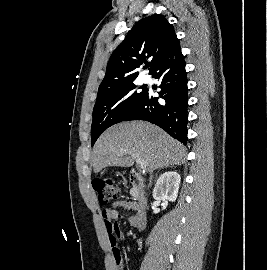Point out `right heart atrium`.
<instances>
[{"label":"right heart atrium","mask_w":267,"mask_h":270,"mask_svg":"<svg viewBox=\"0 0 267 270\" xmlns=\"http://www.w3.org/2000/svg\"><path fill=\"white\" fill-rule=\"evenodd\" d=\"M125 103V97L124 96H120L118 99H117V104L119 106L123 105Z\"/></svg>","instance_id":"d8ad5b80"}]
</instances>
